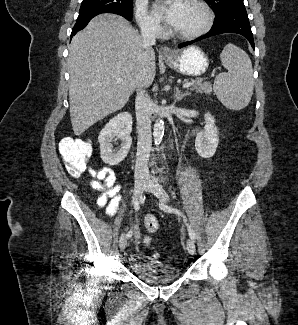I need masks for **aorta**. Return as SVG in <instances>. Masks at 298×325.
<instances>
[{
	"mask_svg": "<svg viewBox=\"0 0 298 325\" xmlns=\"http://www.w3.org/2000/svg\"><path fill=\"white\" fill-rule=\"evenodd\" d=\"M164 134V120L163 118H158L154 124L153 136L155 144H160Z\"/></svg>",
	"mask_w": 298,
	"mask_h": 325,
	"instance_id": "obj_1",
	"label": "aorta"
}]
</instances>
